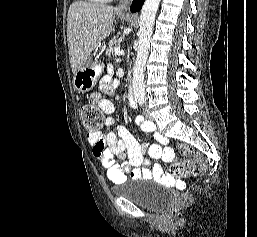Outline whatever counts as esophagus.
Listing matches in <instances>:
<instances>
[{
    "label": "esophagus",
    "mask_w": 257,
    "mask_h": 237,
    "mask_svg": "<svg viewBox=\"0 0 257 237\" xmlns=\"http://www.w3.org/2000/svg\"><path fill=\"white\" fill-rule=\"evenodd\" d=\"M132 0H121L119 5L117 6V11L119 12H127L129 10V6Z\"/></svg>",
    "instance_id": "obj_1"
}]
</instances>
